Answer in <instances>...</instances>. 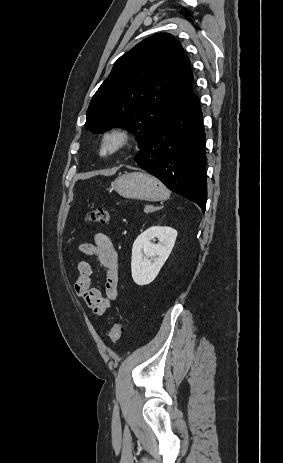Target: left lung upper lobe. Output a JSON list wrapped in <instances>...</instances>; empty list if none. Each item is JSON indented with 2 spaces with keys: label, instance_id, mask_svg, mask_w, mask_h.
I'll list each match as a JSON object with an SVG mask.
<instances>
[{
  "label": "left lung upper lobe",
  "instance_id": "left-lung-upper-lobe-1",
  "mask_svg": "<svg viewBox=\"0 0 283 463\" xmlns=\"http://www.w3.org/2000/svg\"><path fill=\"white\" fill-rule=\"evenodd\" d=\"M192 82L180 42L167 33L155 34L115 62L90 101L85 128L100 133L121 125L136 133L141 149L195 96Z\"/></svg>",
  "mask_w": 283,
  "mask_h": 463
}]
</instances>
